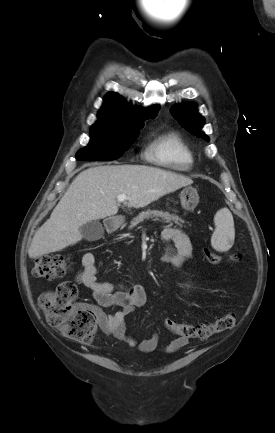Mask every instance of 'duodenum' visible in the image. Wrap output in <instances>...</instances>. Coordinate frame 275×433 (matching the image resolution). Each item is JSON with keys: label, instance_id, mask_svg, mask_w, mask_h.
I'll use <instances>...</instances> for the list:
<instances>
[{"label": "duodenum", "instance_id": "duodenum-1", "mask_svg": "<svg viewBox=\"0 0 275 433\" xmlns=\"http://www.w3.org/2000/svg\"><path fill=\"white\" fill-rule=\"evenodd\" d=\"M104 226L109 233H113L118 228V223L115 220L107 219L104 221Z\"/></svg>", "mask_w": 275, "mask_h": 433}]
</instances>
